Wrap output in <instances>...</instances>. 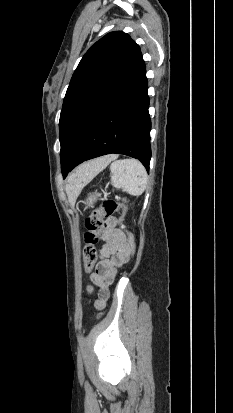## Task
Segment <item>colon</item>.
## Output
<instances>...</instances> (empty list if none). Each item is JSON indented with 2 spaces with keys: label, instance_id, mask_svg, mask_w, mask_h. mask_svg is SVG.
Segmentation results:
<instances>
[{
  "label": "colon",
  "instance_id": "colon-1",
  "mask_svg": "<svg viewBox=\"0 0 233 413\" xmlns=\"http://www.w3.org/2000/svg\"><path fill=\"white\" fill-rule=\"evenodd\" d=\"M119 209L124 210L123 206L114 199H105L101 205L85 220L84 232V248L83 259L85 270L90 272L97 259L96 243L100 239V235L106 229V220L111 218ZM105 220V221H104ZM120 231L127 238V251L129 258L134 254L135 246L131 234L124 228L122 224V216L120 217ZM101 316V315H99Z\"/></svg>",
  "mask_w": 233,
  "mask_h": 413
}]
</instances>
